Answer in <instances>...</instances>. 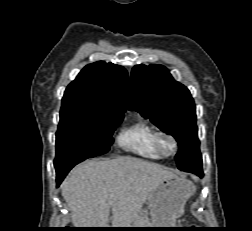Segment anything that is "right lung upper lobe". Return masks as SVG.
Returning a JSON list of instances; mask_svg holds the SVG:
<instances>
[{"label": "right lung upper lobe", "instance_id": "right-lung-upper-lobe-1", "mask_svg": "<svg viewBox=\"0 0 252 231\" xmlns=\"http://www.w3.org/2000/svg\"><path fill=\"white\" fill-rule=\"evenodd\" d=\"M127 72L104 61L85 66L65 90L62 107L81 108L114 114L125 112Z\"/></svg>", "mask_w": 252, "mask_h": 231}]
</instances>
